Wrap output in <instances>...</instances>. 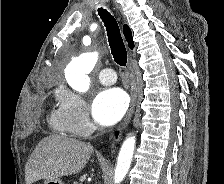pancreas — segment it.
<instances>
[{
    "label": "pancreas",
    "instance_id": "1",
    "mask_svg": "<svg viewBox=\"0 0 224 184\" xmlns=\"http://www.w3.org/2000/svg\"><path fill=\"white\" fill-rule=\"evenodd\" d=\"M73 184H81V183H78V182H74Z\"/></svg>",
    "mask_w": 224,
    "mask_h": 184
}]
</instances>
